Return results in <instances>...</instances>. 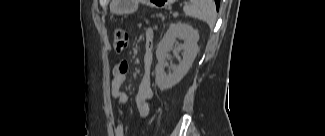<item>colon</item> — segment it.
Returning a JSON list of instances; mask_svg holds the SVG:
<instances>
[{"label":"colon","instance_id":"1","mask_svg":"<svg viewBox=\"0 0 325 136\" xmlns=\"http://www.w3.org/2000/svg\"><path fill=\"white\" fill-rule=\"evenodd\" d=\"M127 34L123 30H117L114 34L113 48L115 52L120 53L124 51L127 46Z\"/></svg>","mask_w":325,"mask_h":136}]
</instances>
